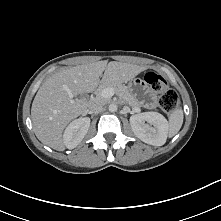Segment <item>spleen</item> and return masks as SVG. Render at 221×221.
I'll return each mask as SVG.
<instances>
[{
	"label": "spleen",
	"mask_w": 221,
	"mask_h": 221,
	"mask_svg": "<svg viewBox=\"0 0 221 221\" xmlns=\"http://www.w3.org/2000/svg\"><path fill=\"white\" fill-rule=\"evenodd\" d=\"M183 123L182 109H175L169 116L168 132L169 137L174 136L180 130Z\"/></svg>",
	"instance_id": "1"
}]
</instances>
